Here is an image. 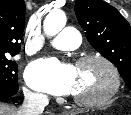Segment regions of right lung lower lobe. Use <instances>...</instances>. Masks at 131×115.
<instances>
[{
    "instance_id": "1",
    "label": "right lung lower lobe",
    "mask_w": 131,
    "mask_h": 115,
    "mask_svg": "<svg viewBox=\"0 0 131 115\" xmlns=\"http://www.w3.org/2000/svg\"><path fill=\"white\" fill-rule=\"evenodd\" d=\"M17 91L12 94L10 93L0 94V101L7 102L8 100L12 99L16 95Z\"/></svg>"
}]
</instances>
